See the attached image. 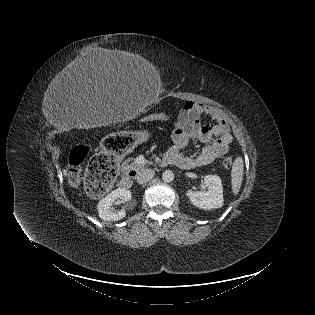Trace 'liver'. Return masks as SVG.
I'll list each match as a JSON object with an SVG mask.
<instances>
[{
	"label": "liver",
	"mask_w": 315,
	"mask_h": 315,
	"mask_svg": "<svg viewBox=\"0 0 315 315\" xmlns=\"http://www.w3.org/2000/svg\"><path fill=\"white\" fill-rule=\"evenodd\" d=\"M134 55L119 50L101 49L99 52L93 53L84 59H81L71 67L64 74L68 77L89 78L92 76L100 75H116L118 73H125L132 61ZM120 118V116H119ZM109 122L110 119H109ZM66 177L70 174L66 169L63 170Z\"/></svg>",
	"instance_id": "liver-1"
}]
</instances>
